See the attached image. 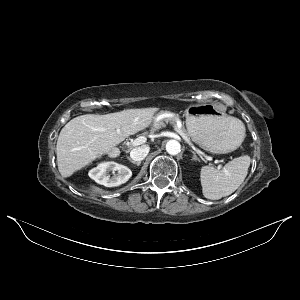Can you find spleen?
Here are the masks:
<instances>
[{
  "label": "spleen",
  "instance_id": "obj_1",
  "mask_svg": "<svg viewBox=\"0 0 300 300\" xmlns=\"http://www.w3.org/2000/svg\"><path fill=\"white\" fill-rule=\"evenodd\" d=\"M236 126L245 134V126L241 120L233 118ZM250 165V157L240 156L228 162L222 169L203 166L200 180L204 197L218 200L232 194L243 183Z\"/></svg>",
  "mask_w": 300,
  "mask_h": 300
}]
</instances>
